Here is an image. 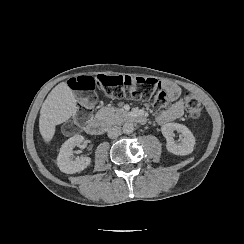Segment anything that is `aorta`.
<instances>
[{
	"mask_svg": "<svg viewBox=\"0 0 244 244\" xmlns=\"http://www.w3.org/2000/svg\"><path fill=\"white\" fill-rule=\"evenodd\" d=\"M122 130L125 134H131L134 131V126L132 123H125Z\"/></svg>",
	"mask_w": 244,
	"mask_h": 244,
	"instance_id": "1",
	"label": "aorta"
}]
</instances>
